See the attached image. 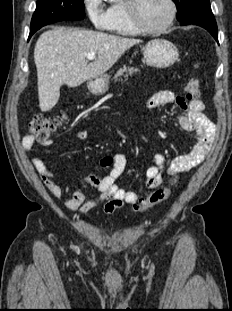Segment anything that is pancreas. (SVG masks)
Returning <instances> with one entry per match:
<instances>
[{
	"label": "pancreas",
	"instance_id": "pancreas-1",
	"mask_svg": "<svg viewBox=\"0 0 232 311\" xmlns=\"http://www.w3.org/2000/svg\"><path fill=\"white\" fill-rule=\"evenodd\" d=\"M139 70L134 67H129L127 65H124L122 68H120L116 74L113 76L114 81H121L123 77L131 76L132 74L138 73Z\"/></svg>",
	"mask_w": 232,
	"mask_h": 311
}]
</instances>
